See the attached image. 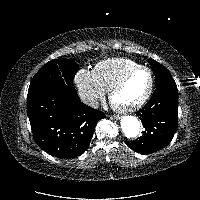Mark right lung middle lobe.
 Wrapping results in <instances>:
<instances>
[{"instance_id": "obj_1", "label": "right lung middle lobe", "mask_w": 200, "mask_h": 200, "mask_svg": "<svg viewBox=\"0 0 200 200\" xmlns=\"http://www.w3.org/2000/svg\"><path fill=\"white\" fill-rule=\"evenodd\" d=\"M78 66L69 59H53L47 62L32 78L28 93L38 90H65L73 85Z\"/></svg>"}]
</instances>
